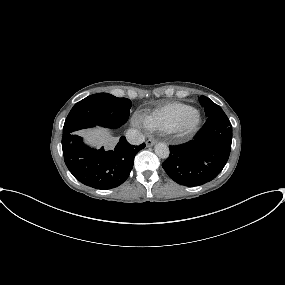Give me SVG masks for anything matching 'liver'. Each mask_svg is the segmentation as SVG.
<instances>
[{
	"mask_svg": "<svg viewBox=\"0 0 285 285\" xmlns=\"http://www.w3.org/2000/svg\"><path fill=\"white\" fill-rule=\"evenodd\" d=\"M79 135L84 137L87 143L91 145H102L105 148L112 147L116 142L109 131L103 128L82 130L79 132Z\"/></svg>",
	"mask_w": 285,
	"mask_h": 285,
	"instance_id": "6515ba94",
	"label": "liver"
}]
</instances>
